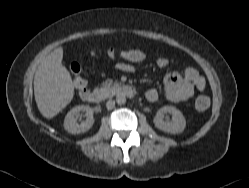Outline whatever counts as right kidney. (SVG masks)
Instances as JSON below:
<instances>
[{"label": "right kidney", "instance_id": "obj_1", "mask_svg": "<svg viewBox=\"0 0 249 188\" xmlns=\"http://www.w3.org/2000/svg\"><path fill=\"white\" fill-rule=\"evenodd\" d=\"M80 112H85L86 119L78 123L76 117L80 115ZM93 124V110L86 105H79L72 108L64 119V129L71 134L84 133L88 131Z\"/></svg>", "mask_w": 249, "mask_h": 188}]
</instances>
